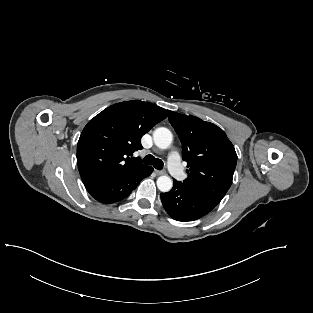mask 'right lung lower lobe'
<instances>
[{"mask_svg":"<svg viewBox=\"0 0 313 313\" xmlns=\"http://www.w3.org/2000/svg\"><path fill=\"white\" fill-rule=\"evenodd\" d=\"M152 171V167L146 166L122 177L85 184V188L97 201L111 204L126 198Z\"/></svg>","mask_w":313,"mask_h":313,"instance_id":"right-lung-lower-lobe-1","label":"right lung lower lobe"}]
</instances>
